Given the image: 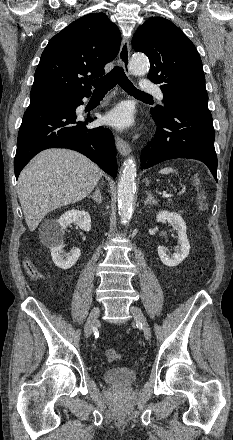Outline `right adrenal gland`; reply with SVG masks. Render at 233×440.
<instances>
[{
  "mask_svg": "<svg viewBox=\"0 0 233 440\" xmlns=\"http://www.w3.org/2000/svg\"><path fill=\"white\" fill-rule=\"evenodd\" d=\"M89 198H92L98 205L102 202V195L99 188H96L93 195L89 196Z\"/></svg>",
  "mask_w": 233,
  "mask_h": 440,
  "instance_id": "right-adrenal-gland-1",
  "label": "right adrenal gland"
}]
</instances>
